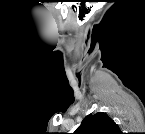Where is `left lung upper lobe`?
Wrapping results in <instances>:
<instances>
[{
    "instance_id": "5c2ea615",
    "label": "left lung upper lobe",
    "mask_w": 145,
    "mask_h": 134,
    "mask_svg": "<svg viewBox=\"0 0 145 134\" xmlns=\"http://www.w3.org/2000/svg\"><path fill=\"white\" fill-rule=\"evenodd\" d=\"M75 134H120L118 125L105 113L87 115Z\"/></svg>"
}]
</instances>
